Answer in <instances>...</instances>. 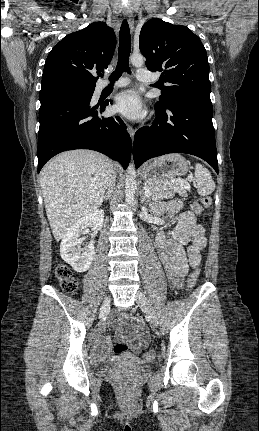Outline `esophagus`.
I'll use <instances>...</instances> for the list:
<instances>
[{
	"instance_id": "esophagus-1",
	"label": "esophagus",
	"mask_w": 259,
	"mask_h": 431,
	"mask_svg": "<svg viewBox=\"0 0 259 431\" xmlns=\"http://www.w3.org/2000/svg\"><path fill=\"white\" fill-rule=\"evenodd\" d=\"M126 16H127V21H128V24H129L130 31L132 33L134 31V18H133V14H132V11H131L130 8H127V10H126ZM127 129H128L130 137L133 139L134 136H135V130H134V128L132 126H130V125H127Z\"/></svg>"
}]
</instances>
